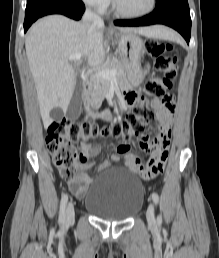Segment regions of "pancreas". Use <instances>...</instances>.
<instances>
[{
    "label": "pancreas",
    "instance_id": "pancreas-1",
    "mask_svg": "<svg viewBox=\"0 0 219 258\" xmlns=\"http://www.w3.org/2000/svg\"><path fill=\"white\" fill-rule=\"evenodd\" d=\"M107 69H115L117 71L116 79L120 86L128 84L127 73L124 65L119 61H112ZM110 88V82L101 77H95L90 84L86 102L88 106L93 108L100 107Z\"/></svg>",
    "mask_w": 219,
    "mask_h": 258
}]
</instances>
